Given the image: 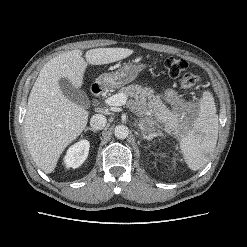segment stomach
Here are the masks:
<instances>
[{"label":"stomach","mask_w":247,"mask_h":247,"mask_svg":"<svg viewBox=\"0 0 247 247\" xmlns=\"http://www.w3.org/2000/svg\"><path fill=\"white\" fill-rule=\"evenodd\" d=\"M142 71V66L128 62L122 65L116 72L104 73L100 75L96 83L103 88H120L137 78ZM165 99L172 104H176L179 101L177 93L173 89H167L165 91ZM174 116V127L167 128L169 132L176 134L179 137H184L187 131L191 128L192 122L183 119L180 116ZM152 122L148 119L140 121V128L145 135H148L151 131Z\"/></svg>","instance_id":"obj_1"}]
</instances>
